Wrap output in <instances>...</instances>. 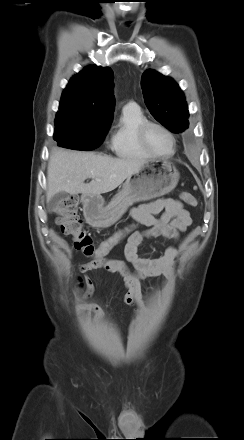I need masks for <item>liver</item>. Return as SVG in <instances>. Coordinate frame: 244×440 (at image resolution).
<instances>
[{
	"label": "liver",
	"mask_w": 244,
	"mask_h": 440,
	"mask_svg": "<svg viewBox=\"0 0 244 440\" xmlns=\"http://www.w3.org/2000/svg\"><path fill=\"white\" fill-rule=\"evenodd\" d=\"M146 162L143 159H120L93 152L54 149L47 169V201L59 192L95 196L113 191ZM87 178L92 181L85 184Z\"/></svg>",
	"instance_id": "liver-1"
}]
</instances>
